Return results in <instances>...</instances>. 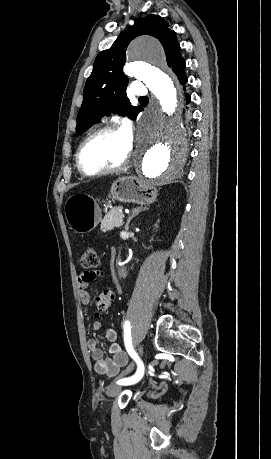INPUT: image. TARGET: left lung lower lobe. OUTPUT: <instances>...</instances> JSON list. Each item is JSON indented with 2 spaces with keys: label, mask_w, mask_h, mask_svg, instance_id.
Returning a JSON list of instances; mask_svg holds the SVG:
<instances>
[{
  "label": "left lung lower lobe",
  "mask_w": 271,
  "mask_h": 459,
  "mask_svg": "<svg viewBox=\"0 0 271 459\" xmlns=\"http://www.w3.org/2000/svg\"><path fill=\"white\" fill-rule=\"evenodd\" d=\"M172 70L174 71V73L177 75L180 83L182 85L186 84L187 82V77L185 75V61L182 59L180 60L173 68ZM186 98L189 99L190 96L189 95H186ZM188 102V101H187Z\"/></svg>",
  "instance_id": "left-lung-lower-lobe-1"
}]
</instances>
